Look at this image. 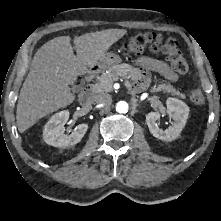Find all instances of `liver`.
<instances>
[{"label":"liver","instance_id":"liver-1","mask_svg":"<svg viewBox=\"0 0 221 221\" xmlns=\"http://www.w3.org/2000/svg\"><path fill=\"white\" fill-rule=\"evenodd\" d=\"M124 34L121 29H107L71 38L56 37L35 54L30 71L20 90L16 122L23 133L39 119L70 105L75 95L70 91L80 75L97 65L109 47Z\"/></svg>","mask_w":221,"mask_h":221}]
</instances>
